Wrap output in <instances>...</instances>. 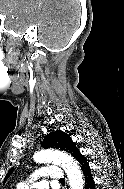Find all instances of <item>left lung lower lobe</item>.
Instances as JSON below:
<instances>
[{
  "instance_id": "0a47b994",
  "label": "left lung lower lobe",
  "mask_w": 124,
  "mask_h": 189,
  "mask_svg": "<svg viewBox=\"0 0 124 189\" xmlns=\"http://www.w3.org/2000/svg\"><path fill=\"white\" fill-rule=\"evenodd\" d=\"M75 159L78 161V165L82 170L84 176L85 189H96L93 176L91 174V169L86 158L80 153Z\"/></svg>"
}]
</instances>
